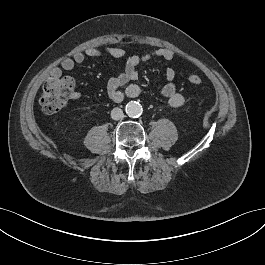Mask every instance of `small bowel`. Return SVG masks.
I'll use <instances>...</instances> for the list:
<instances>
[{
  "label": "small bowel",
  "instance_id": "1",
  "mask_svg": "<svg viewBox=\"0 0 265 265\" xmlns=\"http://www.w3.org/2000/svg\"><path fill=\"white\" fill-rule=\"evenodd\" d=\"M104 56L125 58L126 60L124 69L118 75L112 77L107 84V94L109 99L114 102H121L125 96L136 97L140 94L141 89L136 84L128 85L125 91L120 89L122 86L138 79V67L140 64L148 62L154 58L169 61L173 59L174 53L167 48H158L143 55L128 56L124 50L117 47H88L84 51L75 52L71 57L64 58L61 61L60 67L53 68L50 74L52 76H61L63 71H71L77 64L82 63L86 57L100 58ZM165 79L166 83L161 89L162 96L167 100L171 107L178 108L182 106L184 103V96L177 91L175 84V69L171 67L167 68Z\"/></svg>",
  "mask_w": 265,
  "mask_h": 265
}]
</instances>
